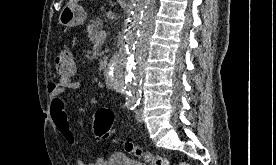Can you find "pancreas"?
Wrapping results in <instances>:
<instances>
[{
  "instance_id": "pancreas-1",
  "label": "pancreas",
  "mask_w": 276,
  "mask_h": 165,
  "mask_svg": "<svg viewBox=\"0 0 276 165\" xmlns=\"http://www.w3.org/2000/svg\"><path fill=\"white\" fill-rule=\"evenodd\" d=\"M102 28H103V21L99 18L91 20L90 23L88 24L87 26L88 37L93 44L98 42L97 36L102 31ZM100 41L103 42V40H100ZM103 54L104 52L100 53L99 56H102ZM106 62H107V57H104L103 60L100 61L99 63L100 70H103L105 68Z\"/></svg>"
}]
</instances>
